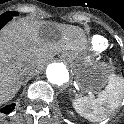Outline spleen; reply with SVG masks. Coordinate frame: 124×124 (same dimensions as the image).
I'll return each mask as SVG.
<instances>
[{"instance_id": "3e777b00", "label": "spleen", "mask_w": 124, "mask_h": 124, "mask_svg": "<svg viewBox=\"0 0 124 124\" xmlns=\"http://www.w3.org/2000/svg\"><path fill=\"white\" fill-rule=\"evenodd\" d=\"M117 85L118 79L114 77L112 83H109L105 90L99 93L98 98H76L73 101V107L80 115L92 122L104 120L108 113L118 105L121 90Z\"/></svg>"}]
</instances>
